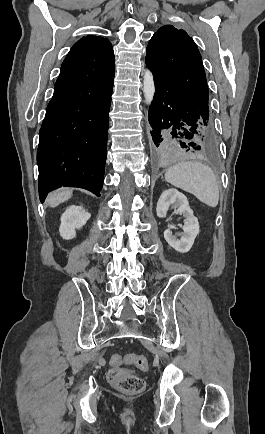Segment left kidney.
<instances>
[{
    "mask_svg": "<svg viewBox=\"0 0 265 434\" xmlns=\"http://www.w3.org/2000/svg\"><path fill=\"white\" fill-rule=\"evenodd\" d=\"M171 206L172 208H177L173 214H183L186 220H184V226H181L183 230L182 234H177V236H180V240H177L176 236H173L171 232V230H177L176 226H168V230L164 232V238L176 252L186 254V252L191 250L194 240L197 234H199L198 220L195 218L186 196L175 190V188L165 190L161 194L156 208L158 218H166V214Z\"/></svg>",
    "mask_w": 265,
    "mask_h": 434,
    "instance_id": "1",
    "label": "left kidney"
}]
</instances>
